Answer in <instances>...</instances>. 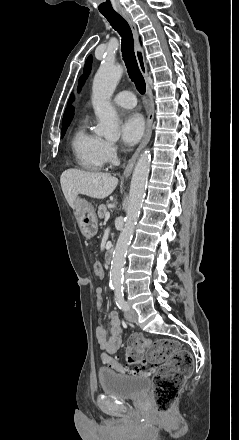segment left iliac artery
Here are the masks:
<instances>
[{
  "instance_id": "left-iliac-artery-1",
  "label": "left iliac artery",
  "mask_w": 239,
  "mask_h": 440,
  "mask_svg": "<svg viewBox=\"0 0 239 440\" xmlns=\"http://www.w3.org/2000/svg\"><path fill=\"white\" fill-rule=\"evenodd\" d=\"M115 301H116L117 306L121 310L126 311L129 309V305L124 299L123 288H121V287L115 288Z\"/></svg>"
}]
</instances>
